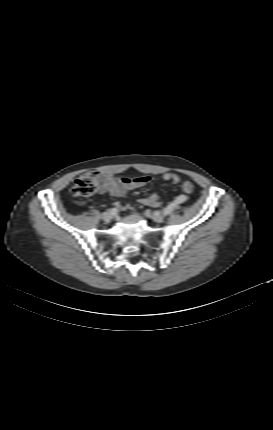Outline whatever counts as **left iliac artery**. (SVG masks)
<instances>
[{"mask_svg":"<svg viewBox=\"0 0 273 430\" xmlns=\"http://www.w3.org/2000/svg\"><path fill=\"white\" fill-rule=\"evenodd\" d=\"M184 202V197L183 196H178L177 197V201H174L173 203H170L166 208L163 209V214L164 215H168L170 214L174 207L176 206L177 203H183Z\"/></svg>","mask_w":273,"mask_h":430,"instance_id":"1","label":"left iliac artery"}]
</instances>
